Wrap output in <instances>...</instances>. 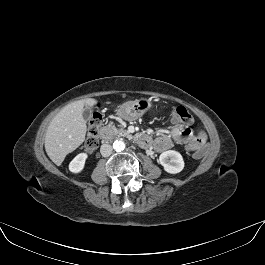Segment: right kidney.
Returning a JSON list of instances; mask_svg holds the SVG:
<instances>
[{"mask_svg": "<svg viewBox=\"0 0 265 265\" xmlns=\"http://www.w3.org/2000/svg\"><path fill=\"white\" fill-rule=\"evenodd\" d=\"M88 155L86 153L78 154L69 164V170L72 173H80L84 169L85 161Z\"/></svg>", "mask_w": 265, "mask_h": 265, "instance_id": "ca27d5eb", "label": "right kidney"}]
</instances>
